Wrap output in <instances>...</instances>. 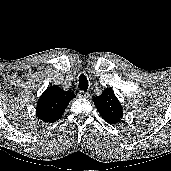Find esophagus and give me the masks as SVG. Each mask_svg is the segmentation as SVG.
Here are the masks:
<instances>
[{"label":"esophagus","mask_w":171,"mask_h":171,"mask_svg":"<svg viewBox=\"0 0 171 171\" xmlns=\"http://www.w3.org/2000/svg\"><path fill=\"white\" fill-rule=\"evenodd\" d=\"M77 96L79 98H89L90 97V94L88 92H85V91H79L77 93Z\"/></svg>","instance_id":"obj_1"}]
</instances>
